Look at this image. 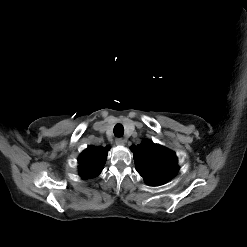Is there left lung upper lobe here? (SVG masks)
Returning <instances> with one entry per match:
<instances>
[{
    "mask_svg": "<svg viewBox=\"0 0 247 247\" xmlns=\"http://www.w3.org/2000/svg\"><path fill=\"white\" fill-rule=\"evenodd\" d=\"M134 153L135 169L147 181L156 186L166 183L178 172L177 157L171 150L144 140L131 146Z\"/></svg>",
    "mask_w": 247,
    "mask_h": 247,
    "instance_id": "obj_1",
    "label": "left lung upper lobe"
}]
</instances>
